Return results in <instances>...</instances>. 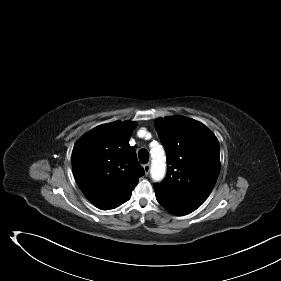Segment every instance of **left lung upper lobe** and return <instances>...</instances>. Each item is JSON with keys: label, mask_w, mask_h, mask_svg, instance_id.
<instances>
[{"label": "left lung upper lobe", "mask_w": 281, "mask_h": 281, "mask_svg": "<svg viewBox=\"0 0 281 281\" xmlns=\"http://www.w3.org/2000/svg\"><path fill=\"white\" fill-rule=\"evenodd\" d=\"M155 128L166 151L168 172L155 194H179L202 204L220 171L219 142L202 123L181 116L160 118Z\"/></svg>", "instance_id": "left-lung-upper-lobe-1"}]
</instances>
